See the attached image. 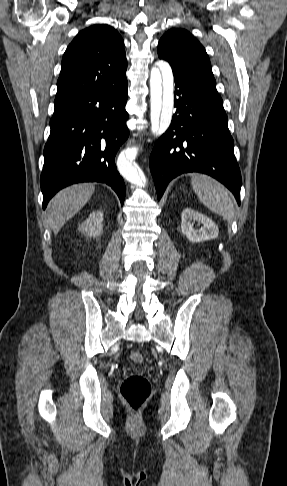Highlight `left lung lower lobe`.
I'll return each instance as SVG.
<instances>
[{
    "instance_id": "1",
    "label": "left lung lower lobe",
    "mask_w": 287,
    "mask_h": 486,
    "mask_svg": "<svg viewBox=\"0 0 287 486\" xmlns=\"http://www.w3.org/2000/svg\"><path fill=\"white\" fill-rule=\"evenodd\" d=\"M174 80L176 112L150 156L158 199L171 179L201 172L222 182L240 204L241 174L223 101L186 77L174 74Z\"/></svg>"
}]
</instances>
